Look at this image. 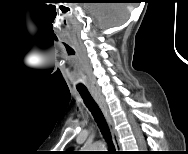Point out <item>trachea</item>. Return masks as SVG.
Instances as JSON below:
<instances>
[{
    "instance_id": "trachea-1",
    "label": "trachea",
    "mask_w": 188,
    "mask_h": 154,
    "mask_svg": "<svg viewBox=\"0 0 188 154\" xmlns=\"http://www.w3.org/2000/svg\"><path fill=\"white\" fill-rule=\"evenodd\" d=\"M79 93H80L81 97L83 98L85 105L91 111L95 121L97 122L98 127L100 128L105 140L107 141V143L109 145V151H107V152L113 153V154L116 153L115 147L112 142L109 128L106 124L105 118H104L99 106L94 101V99L90 95L89 91L79 90Z\"/></svg>"
}]
</instances>
